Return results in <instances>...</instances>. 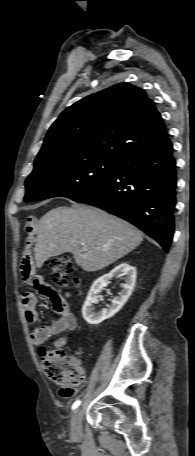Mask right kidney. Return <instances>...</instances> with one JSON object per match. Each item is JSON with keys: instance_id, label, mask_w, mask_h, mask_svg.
Returning a JSON list of instances; mask_svg holds the SVG:
<instances>
[{"instance_id": "right-kidney-1", "label": "right kidney", "mask_w": 195, "mask_h": 456, "mask_svg": "<svg viewBox=\"0 0 195 456\" xmlns=\"http://www.w3.org/2000/svg\"><path fill=\"white\" fill-rule=\"evenodd\" d=\"M136 274V268L124 262L115 267L108 274L96 279L88 292L86 301L82 308V315L85 321L91 325H97L104 320L113 317L131 296L136 282ZM121 275L125 276V283L122 284V290L120 291L119 296L112 300L111 305L107 309L94 312L92 306L94 303L98 302V294L101 289L108 284L111 278Z\"/></svg>"}]
</instances>
